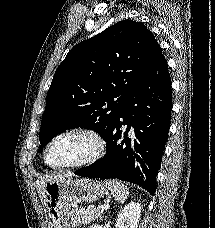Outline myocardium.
Wrapping results in <instances>:
<instances>
[{"label":"myocardium","mask_w":215,"mask_h":228,"mask_svg":"<svg viewBox=\"0 0 215 228\" xmlns=\"http://www.w3.org/2000/svg\"><path fill=\"white\" fill-rule=\"evenodd\" d=\"M68 135H81L86 137L91 143L90 151L84 157L74 162L58 167L50 166L46 161V155L50 147L54 144V142ZM105 149L106 142L103 136L95 128L88 126H74L60 131L47 142L43 149L42 160L44 165L50 170L62 171L70 168H79L94 163L104 154Z\"/></svg>","instance_id":"obj_1"}]
</instances>
